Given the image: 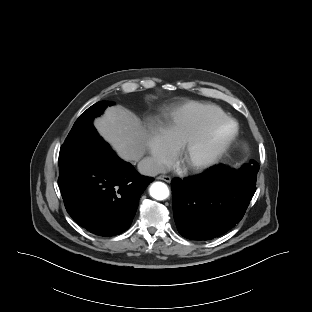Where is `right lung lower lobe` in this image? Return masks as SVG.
I'll list each match as a JSON object with an SVG mask.
<instances>
[{
    "mask_svg": "<svg viewBox=\"0 0 312 312\" xmlns=\"http://www.w3.org/2000/svg\"><path fill=\"white\" fill-rule=\"evenodd\" d=\"M153 180L140 175L105 143L59 176L58 184L74 221L91 233L111 237L130 227L140 196Z\"/></svg>",
    "mask_w": 312,
    "mask_h": 312,
    "instance_id": "1",
    "label": "right lung lower lobe"
}]
</instances>
